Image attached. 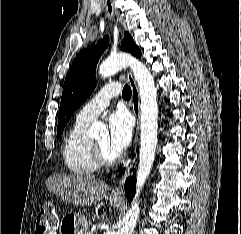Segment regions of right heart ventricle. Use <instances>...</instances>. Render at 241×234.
<instances>
[{
	"label": "right heart ventricle",
	"mask_w": 241,
	"mask_h": 234,
	"mask_svg": "<svg viewBox=\"0 0 241 234\" xmlns=\"http://www.w3.org/2000/svg\"><path fill=\"white\" fill-rule=\"evenodd\" d=\"M89 122L76 119L63 144V159L67 169L78 176L97 173L100 166L93 154L92 140L87 135Z\"/></svg>",
	"instance_id": "right-heart-ventricle-1"
}]
</instances>
